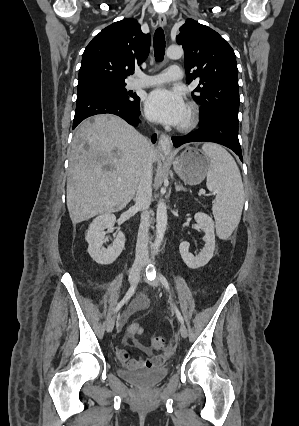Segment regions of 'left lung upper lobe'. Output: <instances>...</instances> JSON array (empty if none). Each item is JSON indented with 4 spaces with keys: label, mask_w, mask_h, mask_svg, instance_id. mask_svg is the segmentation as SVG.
Here are the masks:
<instances>
[{
    "label": "left lung upper lobe",
    "mask_w": 299,
    "mask_h": 426,
    "mask_svg": "<svg viewBox=\"0 0 299 426\" xmlns=\"http://www.w3.org/2000/svg\"><path fill=\"white\" fill-rule=\"evenodd\" d=\"M176 41L185 51L186 82H200L193 98L202 106L200 118L223 115L238 122V69L233 49L217 32L188 19Z\"/></svg>",
    "instance_id": "1"
}]
</instances>
